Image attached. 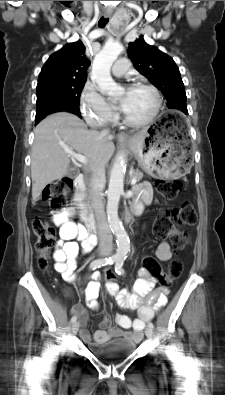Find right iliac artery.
I'll return each instance as SVG.
<instances>
[{"mask_svg": "<svg viewBox=\"0 0 225 395\" xmlns=\"http://www.w3.org/2000/svg\"><path fill=\"white\" fill-rule=\"evenodd\" d=\"M118 258H119L118 256L114 255V256H111V257L104 258V259H96V260H94V261H92V262L90 263L89 268H90L91 270H95L96 268H100V267H102V266L112 265L113 263L116 262V260H117ZM76 320H77V317H76V316H73V317L71 318V323L76 322Z\"/></svg>", "mask_w": 225, "mask_h": 395, "instance_id": "right-iliac-artery-1", "label": "right iliac artery"}]
</instances>
